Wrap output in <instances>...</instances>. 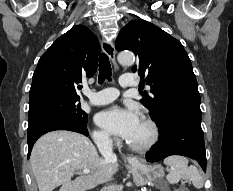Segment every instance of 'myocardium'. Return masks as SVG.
Returning a JSON list of instances; mask_svg holds the SVG:
<instances>
[{
  "instance_id": "1",
  "label": "myocardium",
  "mask_w": 233,
  "mask_h": 191,
  "mask_svg": "<svg viewBox=\"0 0 233 191\" xmlns=\"http://www.w3.org/2000/svg\"><path fill=\"white\" fill-rule=\"evenodd\" d=\"M141 120L145 121L151 128V137L149 141L143 145L133 144L127 141V145L129 146V148L139 153H143L150 150L156 144L159 138V127L156 121L148 116H143Z\"/></svg>"
}]
</instances>
